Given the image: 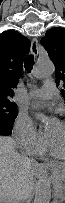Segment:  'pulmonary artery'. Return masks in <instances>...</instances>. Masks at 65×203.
Returning <instances> with one entry per match:
<instances>
[{
  "label": "pulmonary artery",
  "mask_w": 65,
  "mask_h": 203,
  "mask_svg": "<svg viewBox=\"0 0 65 203\" xmlns=\"http://www.w3.org/2000/svg\"><path fill=\"white\" fill-rule=\"evenodd\" d=\"M57 92V89L53 82L46 81L39 89H35L30 92V96L40 99H51Z\"/></svg>",
  "instance_id": "pulmonary-artery-1"
}]
</instances>
